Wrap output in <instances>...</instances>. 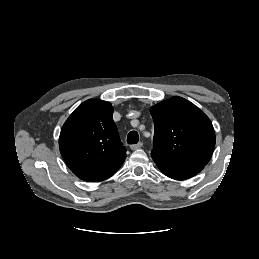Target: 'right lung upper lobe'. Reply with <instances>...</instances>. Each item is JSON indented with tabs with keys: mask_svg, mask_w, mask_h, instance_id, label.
<instances>
[{
	"mask_svg": "<svg viewBox=\"0 0 259 259\" xmlns=\"http://www.w3.org/2000/svg\"><path fill=\"white\" fill-rule=\"evenodd\" d=\"M112 114L109 102L90 99L76 108L61 129L60 153L71 171L84 181L111 177L126 158Z\"/></svg>",
	"mask_w": 259,
	"mask_h": 259,
	"instance_id": "right-lung-upper-lobe-1",
	"label": "right lung upper lobe"
}]
</instances>
